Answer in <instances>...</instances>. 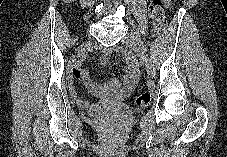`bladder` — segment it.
<instances>
[{
	"label": "bladder",
	"instance_id": "1",
	"mask_svg": "<svg viewBox=\"0 0 227 157\" xmlns=\"http://www.w3.org/2000/svg\"><path fill=\"white\" fill-rule=\"evenodd\" d=\"M99 113L107 116H128L132 115L134 110L128 105L118 104L114 106H108Z\"/></svg>",
	"mask_w": 227,
	"mask_h": 157
}]
</instances>
